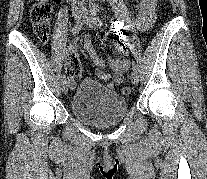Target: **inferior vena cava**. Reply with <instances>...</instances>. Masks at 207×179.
<instances>
[{
    "instance_id": "1",
    "label": "inferior vena cava",
    "mask_w": 207,
    "mask_h": 179,
    "mask_svg": "<svg viewBox=\"0 0 207 179\" xmlns=\"http://www.w3.org/2000/svg\"><path fill=\"white\" fill-rule=\"evenodd\" d=\"M77 1H78V2L80 1V2H82V3L84 2V0H72V2H77Z\"/></svg>"
}]
</instances>
